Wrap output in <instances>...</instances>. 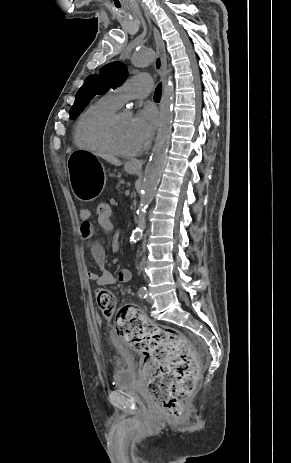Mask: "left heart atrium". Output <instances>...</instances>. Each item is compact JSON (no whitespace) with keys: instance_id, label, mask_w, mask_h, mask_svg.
<instances>
[{"instance_id":"obj_1","label":"left heart atrium","mask_w":291,"mask_h":463,"mask_svg":"<svg viewBox=\"0 0 291 463\" xmlns=\"http://www.w3.org/2000/svg\"><path fill=\"white\" fill-rule=\"evenodd\" d=\"M157 124V113L150 107L140 110L132 118V128L141 147L149 143Z\"/></svg>"}]
</instances>
